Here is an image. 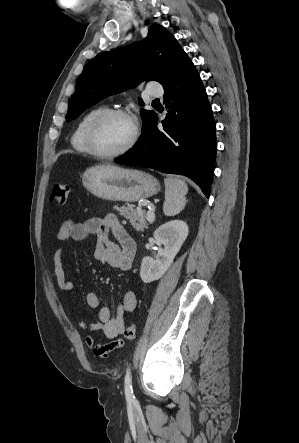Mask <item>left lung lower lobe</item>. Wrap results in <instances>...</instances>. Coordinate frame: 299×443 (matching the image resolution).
Wrapping results in <instances>:
<instances>
[{
    "mask_svg": "<svg viewBox=\"0 0 299 443\" xmlns=\"http://www.w3.org/2000/svg\"><path fill=\"white\" fill-rule=\"evenodd\" d=\"M163 88L168 111L163 129H158V116L154 113L136 145L115 162L185 175L208 198L217 150L216 125L194 64Z\"/></svg>",
    "mask_w": 299,
    "mask_h": 443,
    "instance_id": "obj_1",
    "label": "left lung lower lobe"
}]
</instances>
